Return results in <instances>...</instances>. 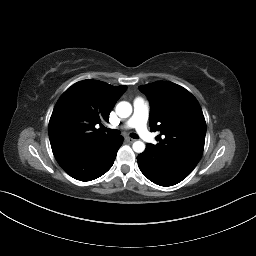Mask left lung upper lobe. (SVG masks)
<instances>
[{"label": "left lung upper lobe", "mask_w": 256, "mask_h": 256, "mask_svg": "<svg viewBox=\"0 0 256 256\" xmlns=\"http://www.w3.org/2000/svg\"><path fill=\"white\" fill-rule=\"evenodd\" d=\"M139 89L151 105L150 128L159 131V143L148 144L152 155L172 167L191 173L204 149L206 122L196 98L172 82L158 81Z\"/></svg>", "instance_id": "5c2ea615"}]
</instances>
